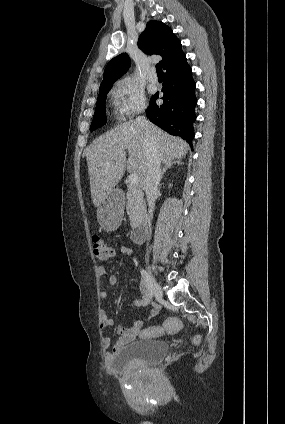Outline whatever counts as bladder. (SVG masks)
<instances>
[{"label": "bladder", "mask_w": 285, "mask_h": 424, "mask_svg": "<svg viewBox=\"0 0 285 424\" xmlns=\"http://www.w3.org/2000/svg\"><path fill=\"white\" fill-rule=\"evenodd\" d=\"M168 352L169 346L162 340H138L123 346L114 354L111 368L115 371H127L136 363L156 365Z\"/></svg>", "instance_id": "31cf9c89"}]
</instances>
